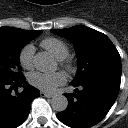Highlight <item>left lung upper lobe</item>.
I'll return each mask as SVG.
<instances>
[{"label":"left lung upper lobe","mask_w":128,"mask_h":128,"mask_svg":"<svg viewBox=\"0 0 128 128\" xmlns=\"http://www.w3.org/2000/svg\"><path fill=\"white\" fill-rule=\"evenodd\" d=\"M51 31L74 43L78 70L72 83L81 82L93 72L100 70L121 72L120 55L105 34L82 25Z\"/></svg>","instance_id":"obj_1"}]
</instances>
